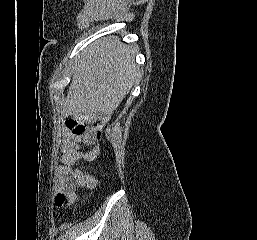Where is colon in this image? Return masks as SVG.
Returning a JSON list of instances; mask_svg holds the SVG:
<instances>
[{
	"instance_id": "1",
	"label": "colon",
	"mask_w": 257,
	"mask_h": 240,
	"mask_svg": "<svg viewBox=\"0 0 257 240\" xmlns=\"http://www.w3.org/2000/svg\"><path fill=\"white\" fill-rule=\"evenodd\" d=\"M66 126L71 132L77 135L83 134L90 127L97 128V125L88 126L73 118H68L66 120ZM83 182L86 185H93L95 183V179L93 177L85 176ZM75 200H76L75 192H72L68 195L61 194L56 197V204L58 206H65L67 204L73 203Z\"/></svg>"
}]
</instances>
